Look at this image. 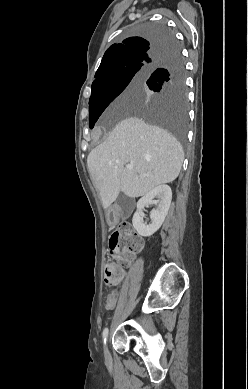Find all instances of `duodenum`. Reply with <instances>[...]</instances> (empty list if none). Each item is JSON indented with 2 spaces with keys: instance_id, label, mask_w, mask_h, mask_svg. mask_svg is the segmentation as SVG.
I'll return each instance as SVG.
<instances>
[{
  "instance_id": "obj_1",
  "label": "duodenum",
  "mask_w": 248,
  "mask_h": 389,
  "mask_svg": "<svg viewBox=\"0 0 248 389\" xmlns=\"http://www.w3.org/2000/svg\"><path fill=\"white\" fill-rule=\"evenodd\" d=\"M116 215H117V212H112L110 215H109V219L114 222L115 221V218H116Z\"/></svg>"
}]
</instances>
